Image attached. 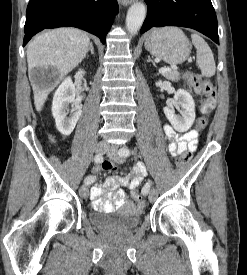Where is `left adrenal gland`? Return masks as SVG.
<instances>
[{"label": "left adrenal gland", "instance_id": "obj_1", "mask_svg": "<svg viewBox=\"0 0 247 275\" xmlns=\"http://www.w3.org/2000/svg\"><path fill=\"white\" fill-rule=\"evenodd\" d=\"M147 62H152V64H153L154 66H156L155 62L150 58V56H148Z\"/></svg>", "mask_w": 247, "mask_h": 275}]
</instances>
